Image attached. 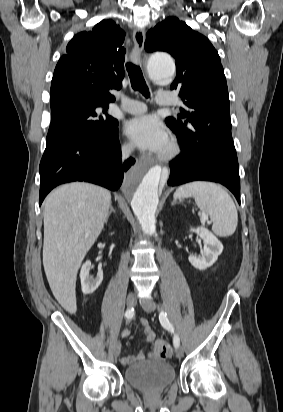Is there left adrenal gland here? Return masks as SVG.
I'll return each mask as SVG.
<instances>
[{"mask_svg":"<svg viewBox=\"0 0 283 412\" xmlns=\"http://www.w3.org/2000/svg\"><path fill=\"white\" fill-rule=\"evenodd\" d=\"M176 204V199L174 198V200L172 201L171 205H175Z\"/></svg>","mask_w":283,"mask_h":412,"instance_id":"1","label":"left adrenal gland"}]
</instances>
